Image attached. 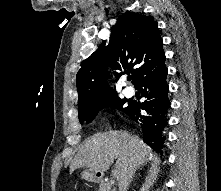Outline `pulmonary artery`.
<instances>
[{
    "mask_svg": "<svg viewBox=\"0 0 221 191\" xmlns=\"http://www.w3.org/2000/svg\"><path fill=\"white\" fill-rule=\"evenodd\" d=\"M124 94L127 98H131L134 95V89L128 86L124 89Z\"/></svg>",
    "mask_w": 221,
    "mask_h": 191,
    "instance_id": "obj_1",
    "label": "pulmonary artery"
}]
</instances>
